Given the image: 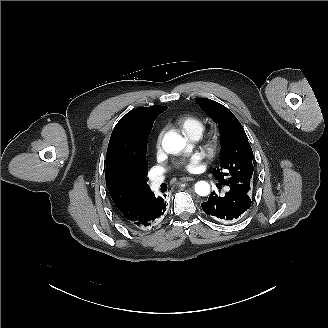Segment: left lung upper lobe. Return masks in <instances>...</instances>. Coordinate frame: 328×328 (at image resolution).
<instances>
[{"instance_id":"1","label":"left lung upper lobe","mask_w":328,"mask_h":328,"mask_svg":"<svg viewBox=\"0 0 328 328\" xmlns=\"http://www.w3.org/2000/svg\"><path fill=\"white\" fill-rule=\"evenodd\" d=\"M197 103L220 129V167L212 171L215 179L249 194L254 167L252 149L242 125L229 109L216 101L198 99Z\"/></svg>"}]
</instances>
